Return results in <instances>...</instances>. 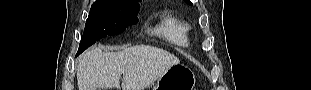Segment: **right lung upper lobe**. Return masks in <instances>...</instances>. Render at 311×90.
<instances>
[{
  "mask_svg": "<svg viewBox=\"0 0 311 90\" xmlns=\"http://www.w3.org/2000/svg\"><path fill=\"white\" fill-rule=\"evenodd\" d=\"M97 1H106V0H97ZM116 1H123V2H128V3H138L137 0H116ZM141 1V0H139Z\"/></svg>",
  "mask_w": 311,
  "mask_h": 90,
  "instance_id": "obj_1",
  "label": "right lung upper lobe"
}]
</instances>
